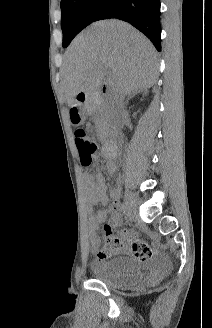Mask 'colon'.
Returning <instances> with one entry per match:
<instances>
[{"label": "colon", "mask_w": 212, "mask_h": 328, "mask_svg": "<svg viewBox=\"0 0 212 328\" xmlns=\"http://www.w3.org/2000/svg\"><path fill=\"white\" fill-rule=\"evenodd\" d=\"M75 144L79 153L81 165L84 167L90 166L98 151L95 140L90 137L83 128H78L75 132ZM104 230L106 233V239L101 254L108 255L115 247L116 238L111 235V229L109 226L106 225ZM150 256L151 253L146 252L142 260H145Z\"/></svg>", "instance_id": "obj_1"}]
</instances>
